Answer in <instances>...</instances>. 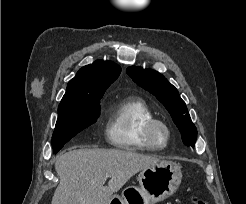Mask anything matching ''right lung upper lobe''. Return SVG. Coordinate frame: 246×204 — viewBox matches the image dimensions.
I'll list each match as a JSON object with an SVG mask.
<instances>
[{
  "label": "right lung upper lobe",
  "mask_w": 246,
  "mask_h": 204,
  "mask_svg": "<svg viewBox=\"0 0 246 204\" xmlns=\"http://www.w3.org/2000/svg\"><path fill=\"white\" fill-rule=\"evenodd\" d=\"M121 68L111 61H95L82 67L69 81L60 104L79 102L94 96H103L109 85L115 81Z\"/></svg>",
  "instance_id": "obj_1"
}]
</instances>
